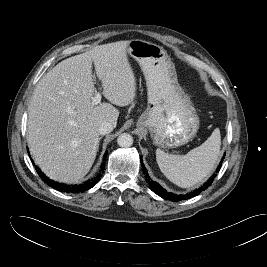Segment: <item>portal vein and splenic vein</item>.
<instances>
[{"mask_svg": "<svg viewBox=\"0 0 267 267\" xmlns=\"http://www.w3.org/2000/svg\"><path fill=\"white\" fill-rule=\"evenodd\" d=\"M101 101V94L97 93L94 97H92V105H97Z\"/></svg>", "mask_w": 267, "mask_h": 267, "instance_id": "1", "label": "portal vein and splenic vein"}]
</instances>
